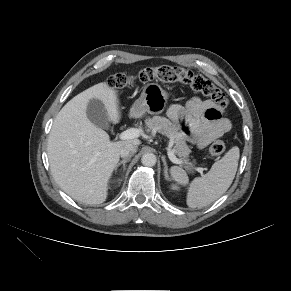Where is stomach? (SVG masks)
<instances>
[{"label": "stomach", "instance_id": "1", "mask_svg": "<svg viewBox=\"0 0 291 291\" xmlns=\"http://www.w3.org/2000/svg\"><path fill=\"white\" fill-rule=\"evenodd\" d=\"M169 94L157 83L147 84L140 97L134 102L130 113L140 117L145 113L152 115L161 114L167 105Z\"/></svg>", "mask_w": 291, "mask_h": 291}]
</instances>
